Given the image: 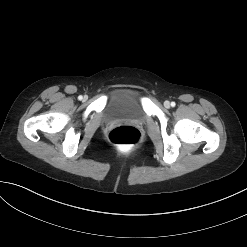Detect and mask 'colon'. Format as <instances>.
Returning a JSON list of instances; mask_svg holds the SVG:
<instances>
[{"mask_svg":"<svg viewBox=\"0 0 247 247\" xmlns=\"http://www.w3.org/2000/svg\"><path fill=\"white\" fill-rule=\"evenodd\" d=\"M108 139L115 146L128 147L140 142L141 133L132 126H119L109 132Z\"/></svg>","mask_w":247,"mask_h":247,"instance_id":"obj_1","label":"colon"}]
</instances>
